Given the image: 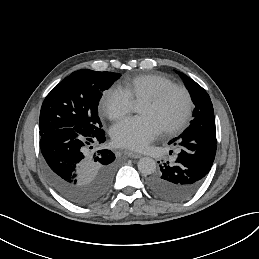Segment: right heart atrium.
Listing matches in <instances>:
<instances>
[{
  "label": "right heart atrium",
  "mask_w": 259,
  "mask_h": 259,
  "mask_svg": "<svg viewBox=\"0 0 259 259\" xmlns=\"http://www.w3.org/2000/svg\"><path fill=\"white\" fill-rule=\"evenodd\" d=\"M103 114L111 120H117L127 115L132 102L115 89H107L103 92L100 100Z\"/></svg>",
  "instance_id": "d8ad5b80"
}]
</instances>
